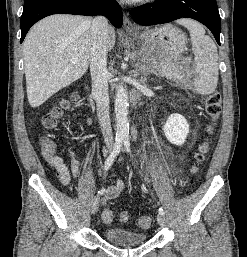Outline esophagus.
<instances>
[{
  "instance_id": "1",
  "label": "esophagus",
  "mask_w": 247,
  "mask_h": 257,
  "mask_svg": "<svg viewBox=\"0 0 247 257\" xmlns=\"http://www.w3.org/2000/svg\"><path fill=\"white\" fill-rule=\"evenodd\" d=\"M123 28L126 32H136L138 30L126 15L124 16Z\"/></svg>"
}]
</instances>
